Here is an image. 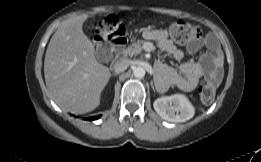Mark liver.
<instances>
[{"mask_svg":"<svg viewBox=\"0 0 261 162\" xmlns=\"http://www.w3.org/2000/svg\"><path fill=\"white\" fill-rule=\"evenodd\" d=\"M88 15L65 20L54 33L44 60L46 85L63 109L84 114L100 104L101 93L111 76L95 58V48L82 26Z\"/></svg>","mask_w":261,"mask_h":162,"instance_id":"liver-1","label":"liver"}]
</instances>
